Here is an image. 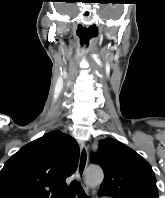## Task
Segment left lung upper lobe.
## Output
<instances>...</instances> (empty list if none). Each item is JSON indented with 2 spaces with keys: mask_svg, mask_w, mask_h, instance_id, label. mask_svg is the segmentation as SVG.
<instances>
[{
  "mask_svg": "<svg viewBox=\"0 0 165 198\" xmlns=\"http://www.w3.org/2000/svg\"><path fill=\"white\" fill-rule=\"evenodd\" d=\"M91 162L104 170L99 191L114 198H158L150 164L125 144L112 138L101 140Z\"/></svg>",
  "mask_w": 165,
  "mask_h": 198,
  "instance_id": "5c2ea615",
  "label": "left lung upper lobe"
}]
</instances>
